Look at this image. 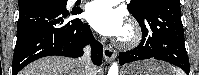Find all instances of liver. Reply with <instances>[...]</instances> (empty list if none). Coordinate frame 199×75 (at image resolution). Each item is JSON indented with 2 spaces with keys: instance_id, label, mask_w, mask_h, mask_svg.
<instances>
[{
  "instance_id": "obj_1",
  "label": "liver",
  "mask_w": 199,
  "mask_h": 75,
  "mask_svg": "<svg viewBox=\"0 0 199 75\" xmlns=\"http://www.w3.org/2000/svg\"><path fill=\"white\" fill-rule=\"evenodd\" d=\"M19 75H85L84 66L77 59L50 56L36 60ZM96 75V69L95 74Z\"/></svg>"
}]
</instances>
